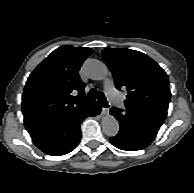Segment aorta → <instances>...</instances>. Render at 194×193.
Wrapping results in <instances>:
<instances>
[{"mask_svg":"<svg viewBox=\"0 0 194 193\" xmlns=\"http://www.w3.org/2000/svg\"><path fill=\"white\" fill-rule=\"evenodd\" d=\"M86 75L93 80H102L108 75L107 66L99 60L89 59L84 66ZM103 132L109 136L117 135L119 124L115 117L106 115L102 118Z\"/></svg>","mask_w":194,"mask_h":193,"instance_id":"762f6f07","label":"aorta"}]
</instances>
